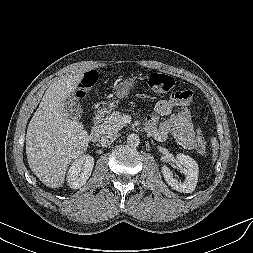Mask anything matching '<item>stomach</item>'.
<instances>
[{"label":"stomach","instance_id":"1","mask_svg":"<svg viewBox=\"0 0 253 253\" xmlns=\"http://www.w3.org/2000/svg\"><path fill=\"white\" fill-rule=\"evenodd\" d=\"M134 84H135L134 79H127V80L123 81L122 83H120L118 85L117 89L115 90L116 97L118 99L126 97L129 94L131 88H133ZM113 107H115V101L110 102L108 104V107L102 109V111L105 112V110L112 109Z\"/></svg>","mask_w":253,"mask_h":253}]
</instances>
